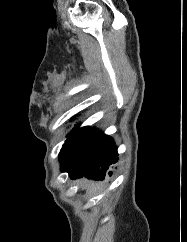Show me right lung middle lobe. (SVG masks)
<instances>
[{
    "label": "right lung middle lobe",
    "mask_w": 187,
    "mask_h": 242,
    "mask_svg": "<svg viewBox=\"0 0 187 242\" xmlns=\"http://www.w3.org/2000/svg\"><path fill=\"white\" fill-rule=\"evenodd\" d=\"M78 129H80V128H79V125H76V126L74 127L73 131H76V130H78Z\"/></svg>",
    "instance_id": "dd1d6c3e"
}]
</instances>
